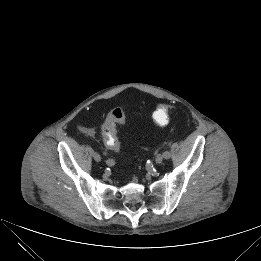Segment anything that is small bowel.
Here are the masks:
<instances>
[{"instance_id":"1","label":"small bowel","mask_w":261,"mask_h":261,"mask_svg":"<svg viewBox=\"0 0 261 261\" xmlns=\"http://www.w3.org/2000/svg\"><path fill=\"white\" fill-rule=\"evenodd\" d=\"M82 132L88 136H93L94 135V131L90 128H82Z\"/></svg>"}]
</instances>
